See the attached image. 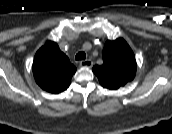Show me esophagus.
Here are the masks:
<instances>
[{
	"mask_svg": "<svg viewBox=\"0 0 172 134\" xmlns=\"http://www.w3.org/2000/svg\"><path fill=\"white\" fill-rule=\"evenodd\" d=\"M81 67H88L91 68L93 66V62L90 59L80 61Z\"/></svg>",
	"mask_w": 172,
	"mask_h": 134,
	"instance_id": "34e87169",
	"label": "esophagus"
}]
</instances>
